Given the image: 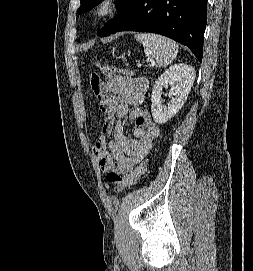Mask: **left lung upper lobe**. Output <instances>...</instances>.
<instances>
[{
  "label": "left lung upper lobe",
  "mask_w": 253,
  "mask_h": 271,
  "mask_svg": "<svg viewBox=\"0 0 253 271\" xmlns=\"http://www.w3.org/2000/svg\"><path fill=\"white\" fill-rule=\"evenodd\" d=\"M102 0H80L81 6L78 9L79 13H85L91 10L95 5ZM117 9L119 13L111 19L99 34L100 37L109 36L127 19L133 9L134 0H117Z\"/></svg>",
  "instance_id": "left-lung-upper-lobe-1"
}]
</instances>
